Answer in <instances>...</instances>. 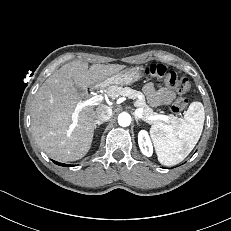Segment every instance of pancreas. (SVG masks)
<instances>
[{
	"mask_svg": "<svg viewBox=\"0 0 231 231\" xmlns=\"http://www.w3.org/2000/svg\"><path fill=\"white\" fill-rule=\"evenodd\" d=\"M104 91L111 98H117L119 96H127L129 98L136 99L134 105L142 109L143 120L149 124L156 123L155 120L148 119L149 117L156 115V113H154L153 110L146 105L145 100L143 98L138 99V96L142 95L141 92L133 90L129 87L123 88L116 85L108 86L107 88L104 89ZM175 121L176 118L173 115H169L168 121L166 122L174 123Z\"/></svg>",
	"mask_w": 231,
	"mask_h": 231,
	"instance_id": "pancreas-1",
	"label": "pancreas"
}]
</instances>
